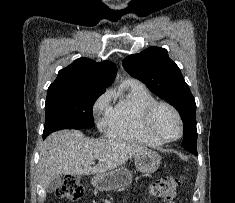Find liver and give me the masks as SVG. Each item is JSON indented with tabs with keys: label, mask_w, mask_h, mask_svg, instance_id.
Segmentation results:
<instances>
[{
	"label": "liver",
	"mask_w": 235,
	"mask_h": 203,
	"mask_svg": "<svg viewBox=\"0 0 235 203\" xmlns=\"http://www.w3.org/2000/svg\"><path fill=\"white\" fill-rule=\"evenodd\" d=\"M146 147L121 139H91L78 130L49 135L40 150L38 174L44 189L62 175H88L112 171ZM98 160L96 166H91Z\"/></svg>",
	"instance_id": "6515ba94"
}]
</instances>
